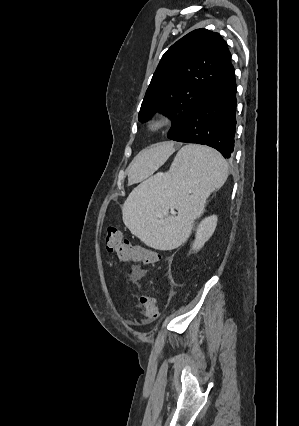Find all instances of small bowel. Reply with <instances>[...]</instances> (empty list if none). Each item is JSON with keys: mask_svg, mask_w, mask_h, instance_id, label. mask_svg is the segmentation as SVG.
<instances>
[{"mask_svg": "<svg viewBox=\"0 0 299 426\" xmlns=\"http://www.w3.org/2000/svg\"><path fill=\"white\" fill-rule=\"evenodd\" d=\"M145 274H146V271L143 268L139 266H134L131 270L130 277L132 281L138 282L145 276Z\"/></svg>", "mask_w": 299, "mask_h": 426, "instance_id": "small-bowel-1", "label": "small bowel"}]
</instances>
